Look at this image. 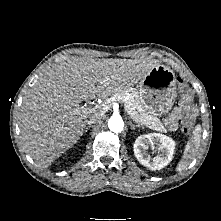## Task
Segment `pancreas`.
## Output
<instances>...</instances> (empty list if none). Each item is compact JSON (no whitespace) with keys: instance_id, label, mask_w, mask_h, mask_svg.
Listing matches in <instances>:
<instances>
[{"instance_id":"pancreas-1","label":"pancreas","mask_w":221,"mask_h":221,"mask_svg":"<svg viewBox=\"0 0 221 221\" xmlns=\"http://www.w3.org/2000/svg\"><path fill=\"white\" fill-rule=\"evenodd\" d=\"M110 101L122 102L124 104L125 111L134 121L146 125L155 131H167L157 116L145 111L139 100L138 93L135 90L127 89L118 92L112 96ZM110 101L105 103H110Z\"/></svg>"}]
</instances>
